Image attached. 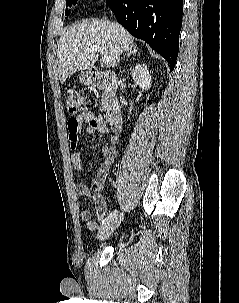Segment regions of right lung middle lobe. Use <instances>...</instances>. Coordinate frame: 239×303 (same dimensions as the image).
Instances as JSON below:
<instances>
[{
    "mask_svg": "<svg viewBox=\"0 0 239 303\" xmlns=\"http://www.w3.org/2000/svg\"><path fill=\"white\" fill-rule=\"evenodd\" d=\"M76 2H77V0H67V4H66V15L69 14L68 7H71L73 4L75 5Z\"/></svg>",
    "mask_w": 239,
    "mask_h": 303,
    "instance_id": "dd1d6c3e",
    "label": "right lung middle lobe"
}]
</instances>
